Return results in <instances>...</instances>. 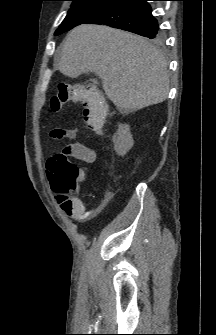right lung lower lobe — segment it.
<instances>
[{"instance_id":"obj_1","label":"right lung lower lobe","mask_w":216,"mask_h":335,"mask_svg":"<svg viewBox=\"0 0 216 335\" xmlns=\"http://www.w3.org/2000/svg\"><path fill=\"white\" fill-rule=\"evenodd\" d=\"M149 0H117L85 23L105 24L154 39L160 34Z\"/></svg>"}]
</instances>
